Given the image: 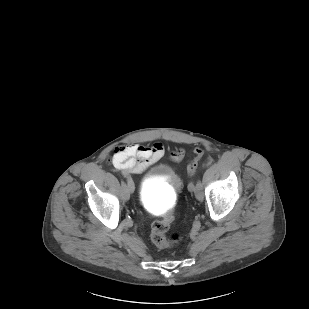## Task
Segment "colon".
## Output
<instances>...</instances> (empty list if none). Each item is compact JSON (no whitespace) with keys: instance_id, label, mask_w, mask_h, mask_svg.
Returning a JSON list of instances; mask_svg holds the SVG:
<instances>
[{"instance_id":"5ec220e1","label":"colon","mask_w":309,"mask_h":309,"mask_svg":"<svg viewBox=\"0 0 309 309\" xmlns=\"http://www.w3.org/2000/svg\"><path fill=\"white\" fill-rule=\"evenodd\" d=\"M204 154V150L202 148H197L194 151V157L189 162L187 166V174L190 178H192L198 169L199 161ZM115 156H119L122 158L124 156L123 149H117L115 151ZM173 156V155H172ZM173 213H166L160 218L156 220L151 225L150 236L152 242L161 249L170 248L177 245L181 239V235L179 232H173L170 236L167 235V232L171 226L173 221Z\"/></svg>"}]
</instances>
